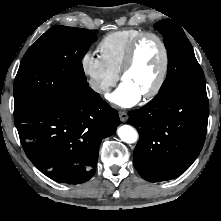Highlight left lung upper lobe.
Listing matches in <instances>:
<instances>
[{
	"mask_svg": "<svg viewBox=\"0 0 221 221\" xmlns=\"http://www.w3.org/2000/svg\"><path fill=\"white\" fill-rule=\"evenodd\" d=\"M154 28L164 37L169 61L167 77L159 92L171 87L206 91L202 68L182 28L170 19L157 22Z\"/></svg>",
	"mask_w": 221,
	"mask_h": 221,
	"instance_id": "1",
	"label": "left lung upper lobe"
}]
</instances>
